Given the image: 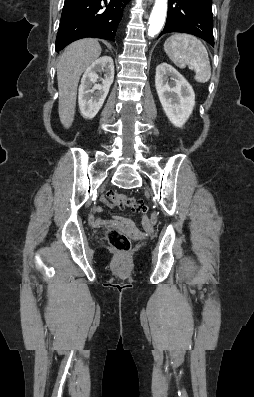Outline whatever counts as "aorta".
Masks as SVG:
<instances>
[{
  "mask_svg": "<svg viewBox=\"0 0 254 397\" xmlns=\"http://www.w3.org/2000/svg\"><path fill=\"white\" fill-rule=\"evenodd\" d=\"M167 13V0H155V5L149 18L148 35L155 36L160 32Z\"/></svg>",
  "mask_w": 254,
  "mask_h": 397,
  "instance_id": "aorta-1",
  "label": "aorta"
}]
</instances>
